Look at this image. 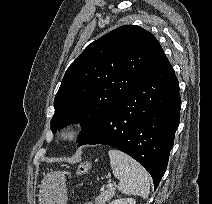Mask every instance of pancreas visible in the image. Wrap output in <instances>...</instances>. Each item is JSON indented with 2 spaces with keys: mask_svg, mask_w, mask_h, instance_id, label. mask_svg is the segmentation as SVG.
I'll return each mask as SVG.
<instances>
[{
  "mask_svg": "<svg viewBox=\"0 0 212 204\" xmlns=\"http://www.w3.org/2000/svg\"><path fill=\"white\" fill-rule=\"evenodd\" d=\"M116 189L114 187L102 191L99 196L95 198V204H105L115 196Z\"/></svg>",
  "mask_w": 212,
  "mask_h": 204,
  "instance_id": "cf45deb5",
  "label": "pancreas"
}]
</instances>
